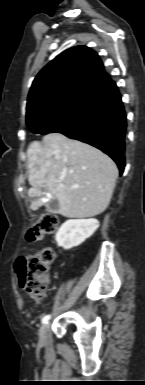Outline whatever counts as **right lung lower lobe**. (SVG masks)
<instances>
[{
	"label": "right lung lower lobe",
	"mask_w": 145,
	"mask_h": 385,
	"mask_svg": "<svg viewBox=\"0 0 145 385\" xmlns=\"http://www.w3.org/2000/svg\"><path fill=\"white\" fill-rule=\"evenodd\" d=\"M127 122L121 95L115 83L105 88L76 116L54 132L88 143L125 167Z\"/></svg>",
	"instance_id": "1"
}]
</instances>
